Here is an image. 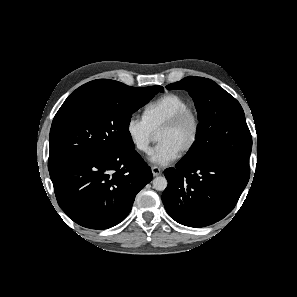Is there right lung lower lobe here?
Wrapping results in <instances>:
<instances>
[{
    "instance_id": "right-lung-lower-lobe-1",
    "label": "right lung lower lobe",
    "mask_w": 297,
    "mask_h": 297,
    "mask_svg": "<svg viewBox=\"0 0 297 297\" xmlns=\"http://www.w3.org/2000/svg\"><path fill=\"white\" fill-rule=\"evenodd\" d=\"M49 172L61 209L90 229L124 220L136 194L153 177L135 149L75 157Z\"/></svg>"
}]
</instances>
